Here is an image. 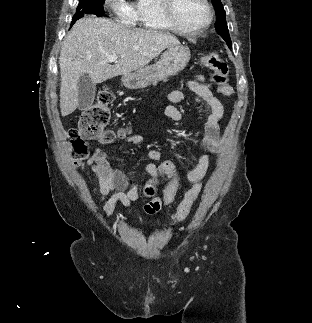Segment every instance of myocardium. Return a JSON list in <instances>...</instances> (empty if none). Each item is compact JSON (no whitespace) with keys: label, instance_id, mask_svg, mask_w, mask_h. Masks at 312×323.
I'll list each match as a JSON object with an SVG mask.
<instances>
[{"label":"myocardium","instance_id":"1","mask_svg":"<svg viewBox=\"0 0 312 323\" xmlns=\"http://www.w3.org/2000/svg\"><path fill=\"white\" fill-rule=\"evenodd\" d=\"M173 2L174 0H163L160 3L165 23L172 25L173 31H206V27L212 25L215 11L212 10L213 5L208 0H197L200 13H206L203 20H176L177 14L173 12Z\"/></svg>","mask_w":312,"mask_h":323}]
</instances>
